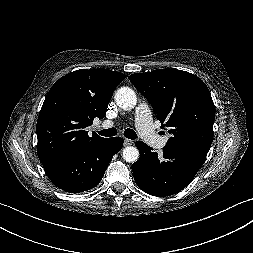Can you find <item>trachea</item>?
Masks as SVG:
<instances>
[{
	"instance_id": "obj_1",
	"label": "trachea",
	"mask_w": 253,
	"mask_h": 253,
	"mask_svg": "<svg viewBox=\"0 0 253 253\" xmlns=\"http://www.w3.org/2000/svg\"><path fill=\"white\" fill-rule=\"evenodd\" d=\"M98 133L101 136L111 137V136H115L117 134V129L116 128L105 129V130L98 131ZM124 136L126 138L132 139V140L137 138L136 132L130 128H128L124 131Z\"/></svg>"
}]
</instances>
